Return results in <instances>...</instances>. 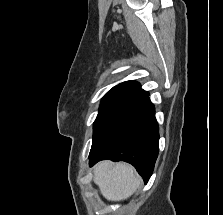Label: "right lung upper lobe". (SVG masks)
<instances>
[{
    "label": "right lung upper lobe",
    "mask_w": 223,
    "mask_h": 215,
    "mask_svg": "<svg viewBox=\"0 0 223 215\" xmlns=\"http://www.w3.org/2000/svg\"><path fill=\"white\" fill-rule=\"evenodd\" d=\"M117 92H126V93L135 94V95H141L146 98L149 95V93L147 91H144L143 89H141L140 84L135 81L123 82V83L113 87L107 94L117 93Z\"/></svg>",
    "instance_id": "right-lung-upper-lobe-1"
}]
</instances>
